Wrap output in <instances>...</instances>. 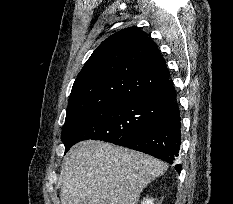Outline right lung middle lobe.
I'll return each mask as SVG.
<instances>
[{"instance_id": "obj_1", "label": "right lung middle lobe", "mask_w": 233, "mask_h": 204, "mask_svg": "<svg viewBox=\"0 0 233 204\" xmlns=\"http://www.w3.org/2000/svg\"><path fill=\"white\" fill-rule=\"evenodd\" d=\"M152 97H135L116 101L90 111L63 127L61 140L67 152L86 139L114 142L146 130L160 120Z\"/></svg>"}]
</instances>
